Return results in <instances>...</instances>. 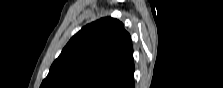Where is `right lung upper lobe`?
Segmentation results:
<instances>
[{
	"label": "right lung upper lobe",
	"mask_w": 223,
	"mask_h": 88,
	"mask_svg": "<svg viewBox=\"0 0 223 88\" xmlns=\"http://www.w3.org/2000/svg\"><path fill=\"white\" fill-rule=\"evenodd\" d=\"M133 75L131 37L120 21L105 17L70 39L41 88H131Z\"/></svg>",
	"instance_id": "right-lung-upper-lobe-1"
}]
</instances>
